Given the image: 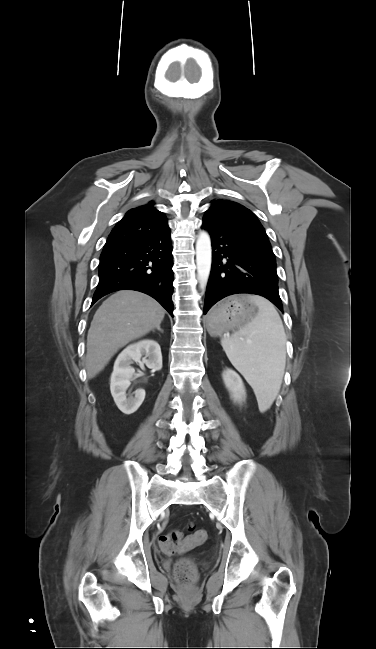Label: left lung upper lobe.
Wrapping results in <instances>:
<instances>
[{
    "instance_id": "obj_1",
    "label": "left lung upper lobe",
    "mask_w": 376,
    "mask_h": 649,
    "mask_svg": "<svg viewBox=\"0 0 376 649\" xmlns=\"http://www.w3.org/2000/svg\"><path fill=\"white\" fill-rule=\"evenodd\" d=\"M205 215L269 243L267 234L256 215L236 202L227 200L213 201Z\"/></svg>"
}]
</instances>
